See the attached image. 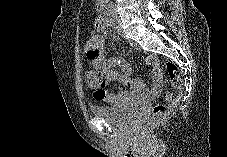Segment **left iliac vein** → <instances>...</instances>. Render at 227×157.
<instances>
[{
    "label": "left iliac vein",
    "mask_w": 227,
    "mask_h": 157,
    "mask_svg": "<svg viewBox=\"0 0 227 157\" xmlns=\"http://www.w3.org/2000/svg\"><path fill=\"white\" fill-rule=\"evenodd\" d=\"M122 31H121V28H120V26H119V33H121Z\"/></svg>",
    "instance_id": "4c4485c4"
}]
</instances>
